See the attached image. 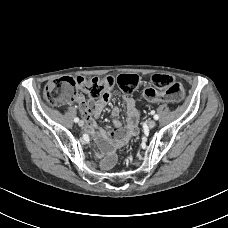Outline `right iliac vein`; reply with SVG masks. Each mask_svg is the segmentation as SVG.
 <instances>
[{
    "label": "right iliac vein",
    "instance_id": "1",
    "mask_svg": "<svg viewBox=\"0 0 228 228\" xmlns=\"http://www.w3.org/2000/svg\"><path fill=\"white\" fill-rule=\"evenodd\" d=\"M78 125H79L80 127L84 126V121L80 120V121L78 122Z\"/></svg>",
    "mask_w": 228,
    "mask_h": 228
}]
</instances>
